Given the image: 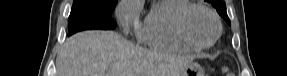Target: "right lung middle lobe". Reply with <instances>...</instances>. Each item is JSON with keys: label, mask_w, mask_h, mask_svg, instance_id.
I'll return each instance as SVG.
<instances>
[{"label": "right lung middle lobe", "mask_w": 287, "mask_h": 76, "mask_svg": "<svg viewBox=\"0 0 287 76\" xmlns=\"http://www.w3.org/2000/svg\"><path fill=\"white\" fill-rule=\"evenodd\" d=\"M116 4L117 0H74L68 19V35L83 30L114 29L116 25L111 14Z\"/></svg>", "instance_id": "1"}]
</instances>
